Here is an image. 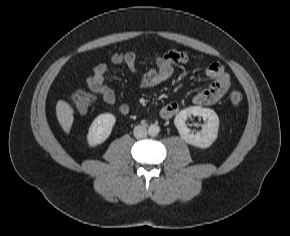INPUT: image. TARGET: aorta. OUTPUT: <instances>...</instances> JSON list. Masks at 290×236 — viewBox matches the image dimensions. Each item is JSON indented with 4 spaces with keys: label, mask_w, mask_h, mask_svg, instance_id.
<instances>
[{
    "label": "aorta",
    "mask_w": 290,
    "mask_h": 236,
    "mask_svg": "<svg viewBox=\"0 0 290 236\" xmlns=\"http://www.w3.org/2000/svg\"><path fill=\"white\" fill-rule=\"evenodd\" d=\"M148 132H149L150 135L156 136L160 132V128H159L158 125L152 124L148 128Z\"/></svg>",
    "instance_id": "aorta-1"
}]
</instances>
